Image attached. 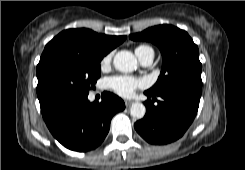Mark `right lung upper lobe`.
I'll use <instances>...</instances> for the list:
<instances>
[{
    "label": "right lung upper lobe",
    "instance_id": "obj_1",
    "mask_svg": "<svg viewBox=\"0 0 245 170\" xmlns=\"http://www.w3.org/2000/svg\"><path fill=\"white\" fill-rule=\"evenodd\" d=\"M126 39V36H108L89 29H69L54 37L44 51L59 49L94 58H103Z\"/></svg>",
    "mask_w": 245,
    "mask_h": 170
}]
</instances>
